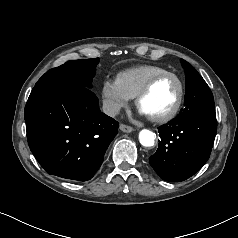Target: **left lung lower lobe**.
Listing matches in <instances>:
<instances>
[{
    "mask_svg": "<svg viewBox=\"0 0 238 238\" xmlns=\"http://www.w3.org/2000/svg\"><path fill=\"white\" fill-rule=\"evenodd\" d=\"M217 131L216 114L177 116L158 128L159 146L150 165L166 181L180 182L198 172L208 160Z\"/></svg>",
    "mask_w": 238,
    "mask_h": 238,
    "instance_id": "1",
    "label": "left lung lower lobe"
}]
</instances>
